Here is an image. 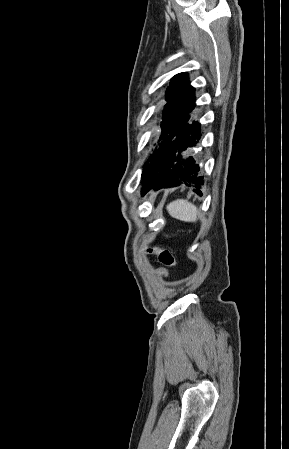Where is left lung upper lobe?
I'll use <instances>...</instances> for the list:
<instances>
[{
    "mask_svg": "<svg viewBox=\"0 0 289 449\" xmlns=\"http://www.w3.org/2000/svg\"><path fill=\"white\" fill-rule=\"evenodd\" d=\"M166 101L161 122L162 143L145 163L141 176L143 181L158 174L164 160L166 144L186 125L189 113L194 109V88L189 84L187 73H179L171 79L166 91Z\"/></svg>",
    "mask_w": 289,
    "mask_h": 449,
    "instance_id": "5c2ea615",
    "label": "left lung upper lobe"
}]
</instances>
